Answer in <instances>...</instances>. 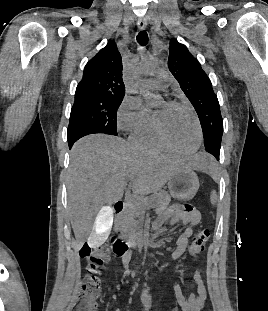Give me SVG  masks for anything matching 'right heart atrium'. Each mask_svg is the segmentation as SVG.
<instances>
[{"mask_svg":"<svg viewBox=\"0 0 268 311\" xmlns=\"http://www.w3.org/2000/svg\"><path fill=\"white\" fill-rule=\"evenodd\" d=\"M150 119V115L137 97H126L117 113L119 130L133 133L142 128Z\"/></svg>","mask_w":268,"mask_h":311,"instance_id":"obj_1","label":"right heart atrium"}]
</instances>
